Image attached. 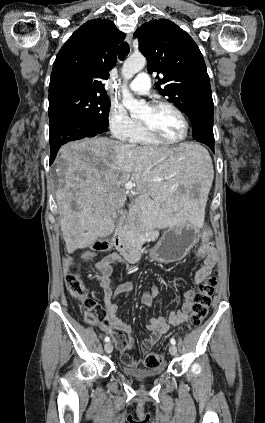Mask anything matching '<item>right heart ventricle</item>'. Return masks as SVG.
<instances>
[{
  "instance_id": "1",
  "label": "right heart ventricle",
  "mask_w": 265,
  "mask_h": 423,
  "mask_svg": "<svg viewBox=\"0 0 265 423\" xmlns=\"http://www.w3.org/2000/svg\"><path fill=\"white\" fill-rule=\"evenodd\" d=\"M133 144H138L143 147H152L158 146L161 143L157 140L149 137L142 129L141 125L138 123L131 139L129 140Z\"/></svg>"
}]
</instances>
